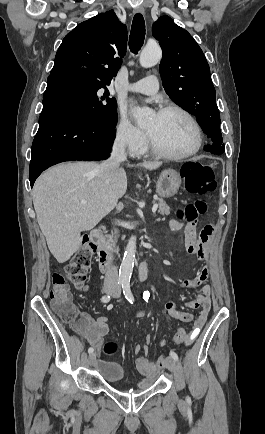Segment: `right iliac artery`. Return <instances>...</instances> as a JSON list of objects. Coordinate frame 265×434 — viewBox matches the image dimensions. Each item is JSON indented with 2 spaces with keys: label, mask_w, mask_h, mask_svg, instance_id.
<instances>
[{
  "label": "right iliac artery",
  "mask_w": 265,
  "mask_h": 434,
  "mask_svg": "<svg viewBox=\"0 0 265 434\" xmlns=\"http://www.w3.org/2000/svg\"><path fill=\"white\" fill-rule=\"evenodd\" d=\"M118 284L119 285H123V283L122 282H118ZM111 300V296L110 295H104V296H102V298H101V301L103 302V303H107V302H109ZM94 352V349L92 348V347H90L89 349H88V353L89 354H92Z\"/></svg>",
  "instance_id": "obj_1"
}]
</instances>
